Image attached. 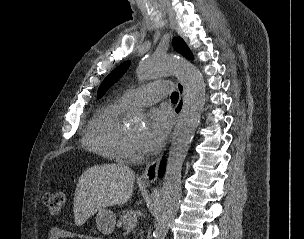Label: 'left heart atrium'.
<instances>
[{"label":"left heart atrium","instance_id":"39dd6f15","mask_svg":"<svg viewBox=\"0 0 304 239\" xmlns=\"http://www.w3.org/2000/svg\"><path fill=\"white\" fill-rule=\"evenodd\" d=\"M172 125L171 115L166 109L155 110L145 130L137 139V147L142 152L156 150L166 138Z\"/></svg>","mask_w":304,"mask_h":239}]
</instances>
